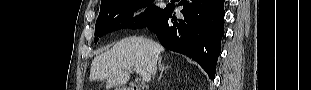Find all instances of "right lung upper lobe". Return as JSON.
I'll return each instance as SVG.
<instances>
[{
  "label": "right lung upper lobe",
  "mask_w": 311,
  "mask_h": 90,
  "mask_svg": "<svg viewBox=\"0 0 311 90\" xmlns=\"http://www.w3.org/2000/svg\"><path fill=\"white\" fill-rule=\"evenodd\" d=\"M106 1H107V0H102L101 3H104V2H106Z\"/></svg>",
  "instance_id": "right-lung-upper-lobe-1"
}]
</instances>
